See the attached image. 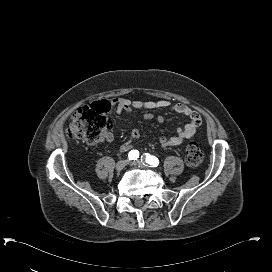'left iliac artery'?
<instances>
[{
	"mask_svg": "<svg viewBox=\"0 0 272 272\" xmlns=\"http://www.w3.org/2000/svg\"><path fill=\"white\" fill-rule=\"evenodd\" d=\"M145 162L151 165L152 167H157L159 164L158 158L155 156H151L148 153H146Z\"/></svg>",
	"mask_w": 272,
	"mask_h": 272,
	"instance_id": "1",
	"label": "left iliac artery"
}]
</instances>
